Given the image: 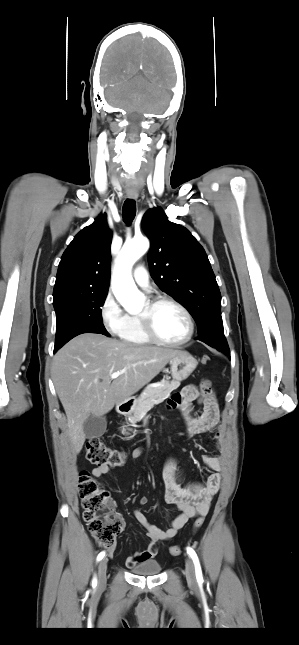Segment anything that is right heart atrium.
<instances>
[{
	"label": "right heart atrium",
	"mask_w": 299,
	"mask_h": 645,
	"mask_svg": "<svg viewBox=\"0 0 299 645\" xmlns=\"http://www.w3.org/2000/svg\"><path fill=\"white\" fill-rule=\"evenodd\" d=\"M100 318L104 329L112 336H120L127 324L128 315L111 292L100 305Z\"/></svg>",
	"instance_id": "right-heart-atrium-1"
}]
</instances>
